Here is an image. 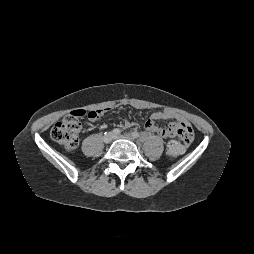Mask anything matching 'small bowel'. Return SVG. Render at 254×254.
<instances>
[{
    "label": "small bowel",
    "instance_id": "c3829d8e",
    "mask_svg": "<svg viewBox=\"0 0 254 254\" xmlns=\"http://www.w3.org/2000/svg\"><path fill=\"white\" fill-rule=\"evenodd\" d=\"M99 113H100L99 114V117H100V116L104 115L105 110H99ZM171 118H176V121L171 122L168 127H163V126H159L156 124V121H158V120H166V119H171ZM89 119L91 121H95L97 118H93V119L89 118ZM124 125H125V127H132V126H134V122H132L130 120H126ZM180 125H188L183 117L175 116L169 110H161V111H156V112L152 113L150 118L145 123V128H146V130L153 132L164 139H169V138H174V137L178 136L177 128ZM178 139H180L182 142V152L181 153H183L185 151L186 147L188 146V139L185 137L179 138V136H178Z\"/></svg>",
    "mask_w": 254,
    "mask_h": 254
}]
</instances>
